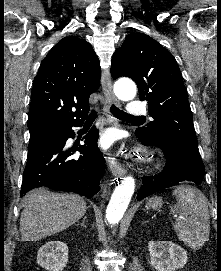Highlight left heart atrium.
Listing matches in <instances>:
<instances>
[{
	"label": "left heart atrium",
	"mask_w": 221,
	"mask_h": 271,
	"mask_svg": "<svg viewBox=\"0 0 221 271\" xmlns=\"http://www.w3.org/2000/svg\"><path fill=\"white\" fill-rule=\"evenodd\" d=\"M119 138V133L116 131H105L101 136V141L105 146H111Z\"/></svg>",
	"instance_id": "39dd6f15"
}]
</instances>
